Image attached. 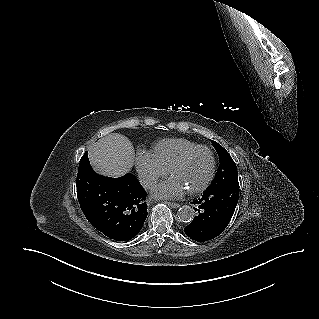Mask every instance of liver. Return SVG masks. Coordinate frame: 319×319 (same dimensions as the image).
<instances>
[{"mask_svg": "<svg viewBox=\"0 0 319 319\" xmlns=\"http://www.w3.org/2000/svg\"><path fill=\"white\" fill-rule=\"evenodd\" d=\"M88 157L97 172L110 177H121L131 170L135 152L127 137L112 133L91 146Z\"/></svg>", "mask_w": 319, "mask_h": 319, "instance_id": "liver-1", "label": "liver"}]
</instances>
